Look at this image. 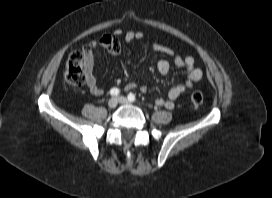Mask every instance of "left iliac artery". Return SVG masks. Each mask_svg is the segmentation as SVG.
I'll use <instances>...</instances> for the list:
<instances>
[{"label":"left iliac artery","mask_w":272,"mask_h":198,"mask_svg":"<svg viewBox=\"0 0 272 198\" xmlns=\"http://www.w3.org/2000/svg\"><path fill=\"white\" fill-rule=\"evenodd\" d=\"M128 100L130 102H134L136 100L135 95L133 93H129L128 94Z\"/></svg>","instance_id":"1"}]
</instances>
